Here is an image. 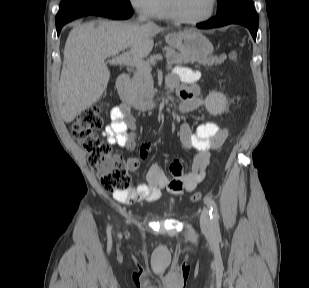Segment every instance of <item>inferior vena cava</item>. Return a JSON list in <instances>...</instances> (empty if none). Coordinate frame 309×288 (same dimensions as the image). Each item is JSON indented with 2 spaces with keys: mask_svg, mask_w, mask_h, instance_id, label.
<instances>
[{
  "mask_svg": "<svg viewBox=\"0 0 309 288\" xmlns=\"http://www.w3.org/2000/svg\"><path fill=\"white\" fill-rule=\"evenodd\" d=\"M138 21H139L140 23L145 22V21H147V17H145V16H143V15H140V16L138 17ZM147 25H154V23L148 21V22H147Z\"/></svg>",
  "mask_w": 309,
  "mask_h": 288,
  "instance_id": "inferior-vena-cava-1",
  "label": "inferior vena cava"
}]
</instances>
